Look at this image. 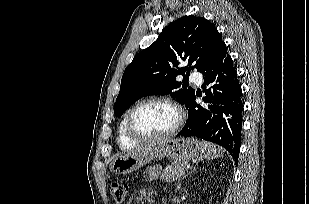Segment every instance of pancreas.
Segmentation results:
<instances>
[{
	"mask_svg": "<svg viewBox=\"0 0 309 204\" xmlns=\"http://www.w3.org/2000/svg\"><path fill=\"white\" fill-rule=\"evenodd\" d=\"M188 164L178 163L176 165L168 166L164 169L160 179L163 182H173L184 175L185 171L188 170Z\"/></svg>",
	"mask_w": 309,
	"mask_h": 204,
	"instance_id": "1",
	"label": "pancreas"
}]
</instances>
